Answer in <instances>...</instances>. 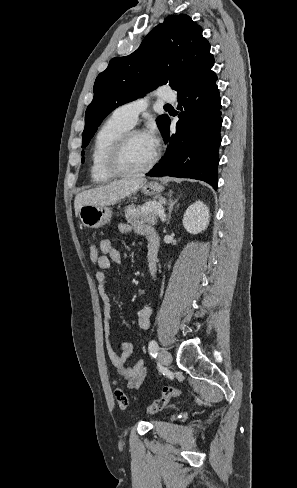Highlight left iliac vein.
<instances>
[{
  "label": "left iliac vein",
  "mask_w": 297,
  "mask_h": 488,
  "mask_svg": "<svg viewBox=\"0 0 297 488\" xmlns=\"http://www.w3.org/2000/svg\"><path fill=\"white\" fill-rule=\"evenodd\" d=\"M158 356H159L160 362L164 366H169L172 363V356H171V354L168 351L162 349V350L159 351Z\"/></svg>",
  "instance_id": "left-iliac-vein-1"
}]
</instances>
